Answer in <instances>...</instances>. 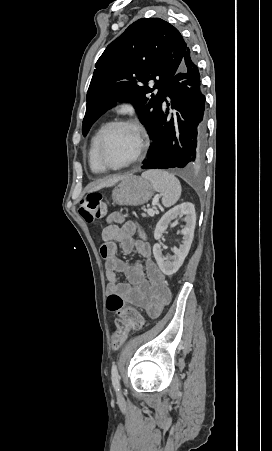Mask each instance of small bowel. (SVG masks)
<instances>
[{
  "mask_svg": "<svg viewBox=\"0 0 272 451\" xmlns=\"http://www.w3.org/2000/svg\"><path fill=\"white\" fill-rule=\"evenodd\" d=\"M107 222L101 232L100 255L105 262L108 295H120L126 302L146 310L150 316H159L172 295L163 273L152 258L145 233L133 222H123L117 213L111 214ZM136 234L139 239L135 238ZM118 246L125 254H138L142 261H123L118 256ZM118 274L123 275L126 282H119Z\"/></svg>",
  "mask_w": 272,
  "mask_h": 451,
  "instance_id": "obj_1",
  "label": "small bowel"
}]
</instances>
